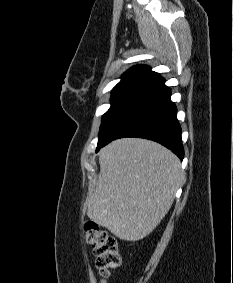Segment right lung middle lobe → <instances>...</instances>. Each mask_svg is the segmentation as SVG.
Instances as JSON below:
<instances>
[{
  "instance_id": "obj_1",
  "label": "right lung middle lobe",
  "mask_w": 233,
  "mask_h": 283,
  "mask_svg": "<svg viewBox=\"0 0 233 283\" xmlns=\"http://www.w3.org/2000/svg\"><path fill=\"white\" fill-rule=\"evenodd\" d=\"M150 84L151 83L147 81H133L116 85L112 89L110 100L111 107L102 117L97 150L134 101Z\"/></svg>"
}]
</instances>
